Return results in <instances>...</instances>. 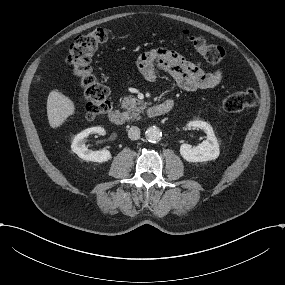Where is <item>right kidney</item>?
<instances>
[{"mask_svg": "<svg viewBox=\"0 0 285 285\" xmlns=\"http://www.w3.org/2000/svg\"><path fill=\"white\" fill-rule=\"evenodd\" d=\"M103 134L105 130L103 127H91L83 130L79 134H77L71 144V149L74 153H76L80 158L93 161V162H105L111 159V154L108 150L103 149L99 151H92L87 148L85 145L84 139L89 136V134Z\"/></svg>", "mask_w": 285, "mask_h": 285, "instance_id": "right-kidney-1", "label": "right kidney"}]
</instances>
